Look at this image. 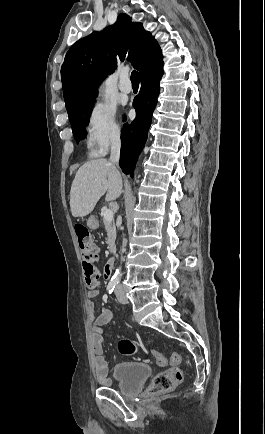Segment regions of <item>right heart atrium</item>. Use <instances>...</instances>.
Listing matches in <instances>:
<instances>
[{"instance_id":"d8ad5b80","label":"right heart atrium","mask_w":265,"mask_h":434,"mask_svg":"<svg viewBox=\"0 0 265 434\" xmlns=\"http://www.w3.org/2000/svg\"><path fill=\"white\" fill-rule=\"evenodd\" d=\"M119 103L110 101L108 106H94L86 120L85 143L87 153L94 159L109 157L111 148H125L123 137V122L118 114ZM113 131V132H109Z\"/></svg>"}]
</instances>
